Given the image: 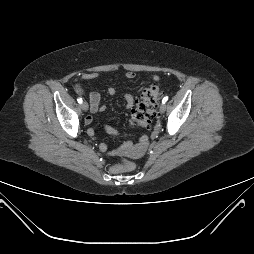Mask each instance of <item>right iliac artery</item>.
I'll use <instances>...</instances> for the list:
<instances>
[{
    "label": "right iliac artery",
    "mask_w": 254,
    "mask_h": 254,
    "mask_svg": "<svg viewBox=\"0 0 254 254\" xmlns=\"http://www.w3.org/2000/svg\"><path fill=\"white\" fill-rule=\"evenodd\" d=\"M77 101H78V103H82L83 100H82V98H78Z\"/></svg>",
    "instance_id": "right-iliac-artery-1"
}]
</instances>
